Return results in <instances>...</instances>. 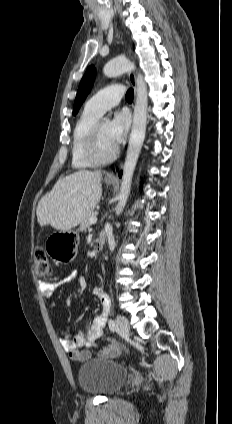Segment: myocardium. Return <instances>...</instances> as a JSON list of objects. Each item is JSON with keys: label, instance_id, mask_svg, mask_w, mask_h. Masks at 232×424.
Segmentation results:
<instances>
[{"label": "myocardium", "instance_id": "f54148a6", "mask_svg": "<svg viewBox=\"0 0 232 424\" xmlns=\"http://www.w3.org/2000/svg\"><path fill=\"white\" fill-rule=\"evenodd\" d=\"M102 121H97L91 129V132L88 137L86 154L91 162L96 165L108 164L114 161L119 153V148L116 147L115 150L108 156H104L100 150V125Z\"/></svg>", "mask_w": 232, "mask_h": 424}]
</instances>
